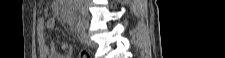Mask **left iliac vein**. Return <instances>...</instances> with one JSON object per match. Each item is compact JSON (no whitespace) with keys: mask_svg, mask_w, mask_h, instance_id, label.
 <instances>
[{"mask_svg":"<svg viewBox=\"0 0 225 58\" xmlns=\"http://www.w3.org/2000/svg\"><path fill=\"white\" fill-rule=\"evenodd\" d=\"M82 39L88 46H96V43L91 40L90 36L86 32L82 33Z\"/></svg>","mask_w":225,"mask_h":58,"instance_id":"1","label":"left iliac vein"}]
</instances>
